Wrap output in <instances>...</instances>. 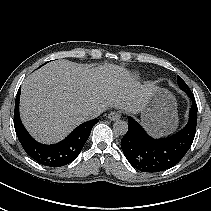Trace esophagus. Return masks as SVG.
Wrapping results in <instances>:
<instances>
[{
  "mask_svg": "<svg viewBox=\"0 0 211 211\" xmlns=\"http://www.w3.org/2000/svg\"><path fill=\"white\" fill-rule=\"evenodd\" d=\"M108 118L111 121H117L121 118V114L117 111H112L109 113Z\"/></svg>",
  "mask_w": 211,
  "mask_h": 211,
  "instance_id": "obj_1",
  "label": "esophagus"
}]
</instances>
